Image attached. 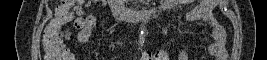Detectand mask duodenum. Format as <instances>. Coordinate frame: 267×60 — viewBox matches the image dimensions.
<instances>
[{
    "label": "duodenum",
    "mask_w": 267,
    "mask_h": 60,
    "mask_svg": "<svg viewBox=\"0 0 267 60\" xmlns=\"http://www.w3.org/2000/svg\"><path fill=\"white\" fill-rule=\"evenodd\" d=\"M112 13L116 19H128L131 21H139L156 15L155 9H137L126 6L120 0H110Z\"/></svg>",
    "instance_id": "410a0bca"
}]
</instances>
